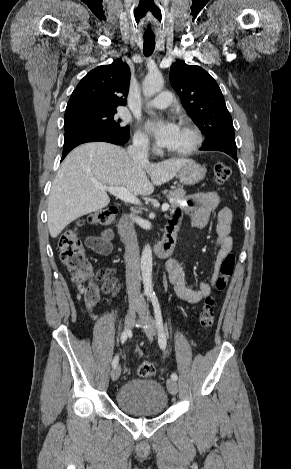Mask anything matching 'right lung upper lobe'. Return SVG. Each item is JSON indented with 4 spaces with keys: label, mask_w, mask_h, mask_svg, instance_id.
Instances as JSON below:
<instances>
[{
    "label": "right lung upper lobe",
    "mask_w": 291,
    "mask_h": 469,
    "mask_svg": "<svg viewBox=\"0 0 291 469\" xmlns=\"http://www.w3.org/2000/svg\"><path fill=\"white\" fill-rule=\"evenodd\" d=\"M130 70L121 59L91 70L77 85L65 114L90 109H116L126 105Z\"/></svg>",
    "instance_id": "1"
}]
</instances>
